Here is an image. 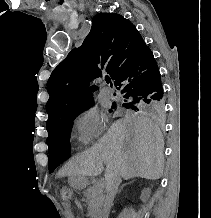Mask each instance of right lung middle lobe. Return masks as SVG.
Returning <instances> with one entry per match:
<instances>
[{"label":"right lung middle lobe","instance_id":"right-lung-middle-lobe-1","mask_svg":"<svg viewBox=\"0 0 211 218\" xmlns=\"http://www.w3.org/2000/svg\"><path fill=\"white\" fill-rule=\"evenodd\" d=\"M93 101L83 104L76 110L65 115L52 127L48 132L47 145L49 148V172L52 173L63 161L69 156L70 150V133L73 126V121L76 116L84 109L92 106ZM120 106L138 111L140 109H147L154 112H162L165 107L164 99L151 100L143 98H128L122 99L119 103ZM116 107L113 102L112 108ZM111 111V110H110Z\"/></svg>","mask_w":211,"mask_h":218}]
</instances>
